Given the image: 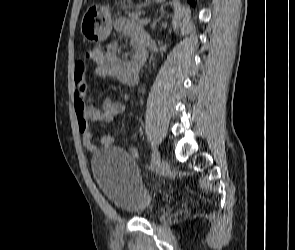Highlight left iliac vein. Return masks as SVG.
Instances as JSON below:
<instances>
[{"mask_svg": "<svg viewBox=\"0 0 295 250\" xmlns=\"http://www.w3.org/2000/svg\"><path fill=\"white\" fill-rule=\"evenodd\" d=\"M154 159L157 161V170L161 176L167 175L169 171V165L168 162L163 159L161 160L159 152H156L154 155Z\"/></svg>", "mask_w": 295, "mask_h": 250, "instance_id": "1", "label": "left iliac vein"}]
</instances>
